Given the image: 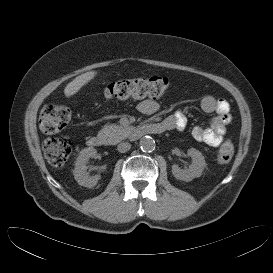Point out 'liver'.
Instances as JSON below:
<instances>
[{"label": "liver", "instance_id": "liver-1", "mask_svg": "<svg viewBox=\"0 0 273 273\" xmlns=\"http://www.w3.org/2000/svg\"><path fill=\"white\" fill-rule=\"evenodd\" d=\"M97 71H89L77 76L73 81L67 84L64 89L66 97H71L76 94L84 85L90 82L97 75Z\"/></svg>", "mask_w": 273, "mask_h": 273}]
</instances>
